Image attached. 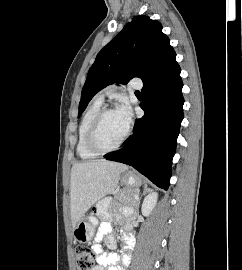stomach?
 Masks as SVG:
<instances>
[{
	"label": "stomach",
	"mask_w": 242,
	"mask_h": 270,
	"mask_svg": "<svg viewBox=\"0 0 242 270\" xmlns=\"http://www.w3.org/2000/svg\"><path fill=\"white\" fill-rule=\"evenodd\" d=\"M121 182L130 190L138 192V188L142 185L141 177L132 171H126L121 175ZM98 221L93 216H83L73 228V238L78 243L89 242L95 232Z\"/></svg>",
	"instance_id": "stomach-1"
}]
</instances>
